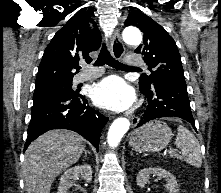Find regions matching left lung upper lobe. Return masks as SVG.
Segmentation results:
<instances>
[{"label": "left lung upper lobe", "mask_w": 221, "mask_h": 193, "mask_svg": "<svg viewBox=\"0 0 221 193\" xmlns=\"http://www.w3.org/2000/svg\"><path fill=\"white\" fill-rule=\"evenodd\" d=\"M125 25L136 26L144 33V43L135 52L144 56L151 74L140 77V89H149L156 79L185 80L176 43L161 25L137 10L128 15Z\"/></svg>", "instance_id": "1"}]
</instances>
